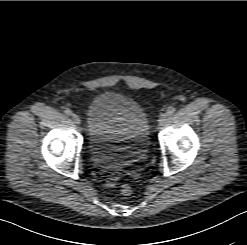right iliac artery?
<instances>
[{
	"label": "right iliac artery",
	"instance_id": "right-iliac-artery-1",
	"mask_svg": "<svg viewBox=\"0 0 247 245\" xmlns=\"http://www.w3.org/2000/svg\"><path fill=\"white\" fill-rule=\"evenodd\" d=\"M64 113L68 116H70L72 114V111L69 108H66Z\"/></svg>",
	"mask_w": 247,
	"mask_h": 245
}]
</instances>
